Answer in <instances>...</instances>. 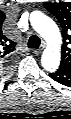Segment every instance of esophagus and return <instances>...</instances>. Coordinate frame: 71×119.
Wrapping results in <instances>:
<instances>
[{"instance_id":"34e87169","label":"esophagus","mask_w":71,"mask_h":119,"mask_svg":"<svg viewBox=\"0 0 71 119\" xmlns=\"http://www.w3.org/2000/svg\"><path fill=\"white\" fill-rule=\"evenodd\" d=\"M45 47V44L42 45V48ZM42 52V49H34L32 50V53L35 55H39Z\"/></svg>"}]
</instances>
